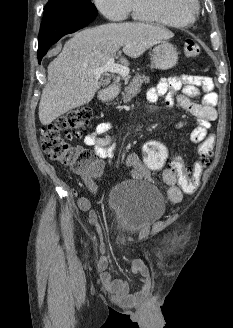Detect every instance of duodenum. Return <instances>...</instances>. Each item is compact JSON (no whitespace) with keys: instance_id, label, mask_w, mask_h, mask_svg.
I'll list each match as a JSON object with an SVG mask.
<instances>
[{"instance_id":"1","label":"duodenum","mask_w":233,"mask_h":328,"mask_svg":"<svg viewBox=\"0 0 233 328\" xmlns=\"http://www.w3.org/2000/svg\"><path fill=\"white\" fill-rule=\"evenodd\" d=\"M117 91L118 85L116 83H113L110 86L101 90V92L99 93V99L104 102L109 101L116 95Z\"/></svg>"}]
</instances>
